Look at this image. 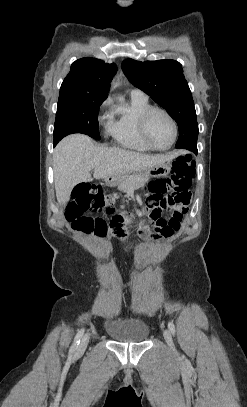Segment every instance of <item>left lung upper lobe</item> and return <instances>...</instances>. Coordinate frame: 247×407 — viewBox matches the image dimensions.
Wrapping results in <instances>:
<instances>
[{"mask_svg": "<svg viewBox=\"0 0 247 407\" xmlns=\"http://www.w3.org/2000/svg\"><path fill=\"white\" fill-rule=\"evenodd\" d=\"M122 70L133 85L147 93L177 122L179 138L175 147L190 151L197 148L196 111L181 64L175 60L126 59Z\"/></svg>", "mask_w": 247, "mask_h": 407, "instance_id": "5c2ea615", "label": "left lung upper lobe"}]
</instances>
